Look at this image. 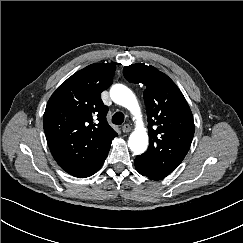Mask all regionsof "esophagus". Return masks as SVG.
I'll return each instance as SVG.
<instances>
[{"instance_id": "obj_1", "label": "esophagus", "mask_w": 243, "mask_h": 243, "mask_svg": "<svg viewBox=\"0 0 243 243\" xmlns=\"http://www.w3.org/2000/svg\"><path fill=\"white\" fill-rule=\"evenodd\" d=\"M122 131H123L124 133H129V132L131 131V127H130V125H129V124H124V125L122 126Z\"/></svg>"}]
</instances>
